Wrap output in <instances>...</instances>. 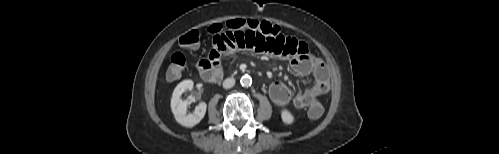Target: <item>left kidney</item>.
I'll list each match as a JSON object with an SVG mask.
<instances>
[{
    "label": "left kidney",
    "instance_id": "obj_1",
    "mask_svg": "<svg viewBox=\"0 0 499 154\" xmlns=\"http://www.w3.org/2000/svg\"><path fill=\"white\" fill-rule=\"evenodd\" d=\"M281 118L285 124H292L294 122V117L292 113L287 109H283L281 111Z\"/></svg>",
    "mask_w": 499,
    "mask_h": 154
}]
</instances>
